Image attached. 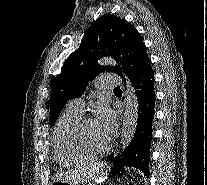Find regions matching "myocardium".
<instances>
[{
	"instance_id": "1",
	"label": "myocardium",
	"mask_w": 207,
	"mask_h": 185,
	"mask_svg": "<svg viewBox=\"0 0 207 185\" xmlns=\"http://www.w3.org/2000/svg\"><path fill=\"white\" fill-rule=\"evenodd\" d=\"M92 120L91 118H84L82 120H80L74 130V139L76 144L78 145V147L83 150L84 152H86L87 154L91 155V156H101V155H105L106 153H108L113 145H114V139L111 137L109 140V143L107 144V146L101 150H96L94 149L86 140L85 136H84V126L85 124Z\"/></svg>"
}]
</instances>
